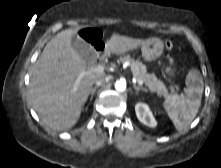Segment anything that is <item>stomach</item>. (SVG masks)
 I'll return each mask as SVG.
<instances>
[{"instance_id": "1", "label": "stomach", "mask_w": 221, "mask_h": 168, "mask_svg": "<svg viewBox=\"0 0 221 168\" xmlns=\"http://www.w3.org/2000/svg\"><path fill=\"white\" fill-rule=\"evenodd\" d=\"M164 50V43L160 38H149L141 44L142 57L146 61L158 59Z\"/></svg>"}]
</instances>
